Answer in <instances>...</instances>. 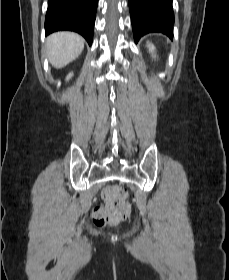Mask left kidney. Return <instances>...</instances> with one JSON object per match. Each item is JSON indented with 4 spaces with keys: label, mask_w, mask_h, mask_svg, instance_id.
Masks as SVG:
<instances>
[{
    "label": "left kidney",
    "mask_w": 229,
    "mask_h": 280,
    "mask_svg": "<svg viewBox=\"0 0 229 280\" xmlns=\"http://www.w3.org/2000/svg\"><path fill=\"white\" fill-rule=\"evenodd\" d=\"M147 47L149 48V52H151L152 55H153L154 52H155V47H154V45L147 42ZM153 56L155 57V55H153Z\"/></svg>",
    "instance_id": "1"
}]
</instances>
